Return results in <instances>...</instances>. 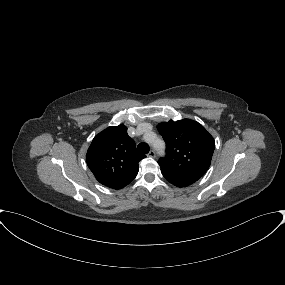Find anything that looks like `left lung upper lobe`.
Listing matches in <instances>:
<instances>
[{
  "label": "left lung upper lobe",
  "instance_id": "1",
  "mask_svg": "<svg viewBox=\"0 0 285 285\" xmlns=\"http://www.w3.org/2000/svg\"><path fill=\"white\" fill-rule=\"evenodd\" d=\"M166 142L161 170L183 176H203L210 166L215 148L213 137L196 121L170 120L157 126Z\"/></svg>",
  "mask_w": 285,
  "mask_h": 285
}]
</instances>
